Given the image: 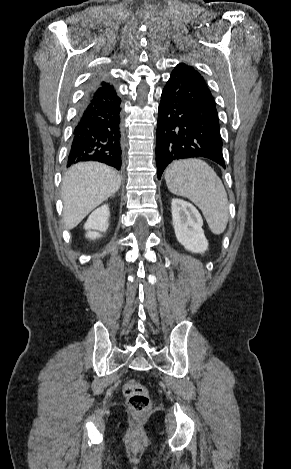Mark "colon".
Listing matches in <instances>:
<instances>
[{
    "label": "colon",
    "instance_id": "obj_1",
    "mask_svg": "<svg viewBox=\"0 0 291 469\" xmlns=\"http://www.w3.org/2000/svg\"><path fill=\"white\" fill-rule=\"evenodd\" d=\"M123 393L131 411L137 414L147 412L151 407L148 390L136 380H128L123 386Z\"/></svg>",
    "mask_w": 291,
    "mask_h": 469
}]
</instances>
